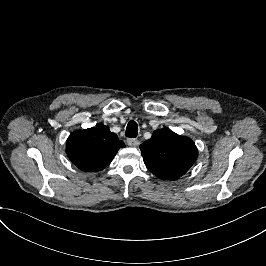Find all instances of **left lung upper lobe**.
I'll use <instances>...</instances> for the list:
<instances>
[{"label": "left lung upper lobe", "mask_w": 266, "mask_h": 266, "mask_svg": "<svg viewBox=\"0 0 266 266\" xmlns=\"http://www.w3.org/2000/svg\"><path fill=\"white\" fill-rule=\"evenodd\" d=\"M140 149L149 171L163 180L179 179L198 156L197 147L190 138L168 128L155 130Z\"/></svg>", "instance_id": "left-lung-upper-lobe-1"}]
</instances>
